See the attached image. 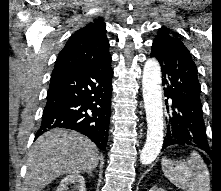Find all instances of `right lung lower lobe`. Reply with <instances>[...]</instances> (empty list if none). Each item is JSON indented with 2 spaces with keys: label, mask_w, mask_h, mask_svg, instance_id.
<instances>
[{
  "label": "right lung lower lobe",
  "mask_w": 221,
  "mask_h": 191,
  "mask_svg": "<svg viewBox=\"0 0 221 191\" xmlns=\"http://www.w3.org/2000/svg\"><path fill=\"white\" fill-rule=\"evenodd\" d=\"M112 76L111 62L51 76L42 123L35 139L49 129L63 127L86 135L99 149L105 150Z\"/></svg>",
  "instance_id": "98d812e1"
}]
</instances>
